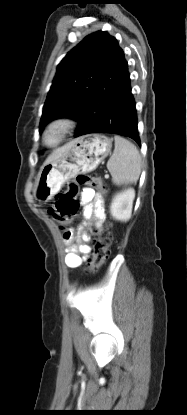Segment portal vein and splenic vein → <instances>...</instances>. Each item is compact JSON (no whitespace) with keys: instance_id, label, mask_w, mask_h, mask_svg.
Instances as JSON below:
<instances>
[{"instance_id":"obj_1","label":"portal vein and splenic vein","mask_w":187,"mask_h":415,"mask_svg":"<svg viewBox=\"0 0 187 415\" xmlns=\"http://www.w3.org/2000/svg\"><path fill=\"white\" fill-rule=\"evenodd\" d=\"M105 178L107 179V178H109V175L108 174H105Z\"/></svg>"}]
</instances>
